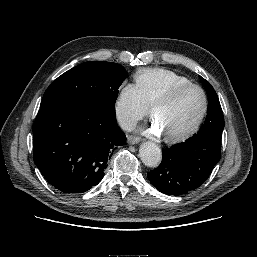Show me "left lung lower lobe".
<instances>
[{
    "label": "left lung lower lobe",
    "instance_id": "1",
    "mask_svg": "<svg viewBox=\"0 0 257 257\" xmlns=\"http://www.w3.org/2000/svg\"><path fill=\"white\" fill-rule=\"evenodd\" d=\"M221 156V139L205 136L162 149V162L147 176L150 183L167 195H183L200 187Z\"/></svg>",
    "mask_w": 257,
    "mask_h": 257
}]
</instances>
